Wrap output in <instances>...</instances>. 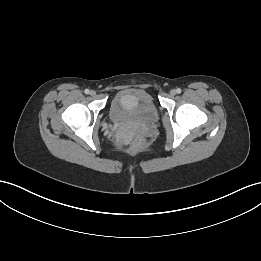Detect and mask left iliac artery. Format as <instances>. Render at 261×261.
<instances>
[{"instance_id": "44dca946", "label": "left iliac artery", "mask_w": 261, "mask_h": 261, "mask_svg": "<svg viewBox=\"0 0 261 261\" xmlns=\"http://www.w3.org/2000/svg\"><path fill=\"white\" fill-rule=\"evenodd\" d=\"M176 92H177V93H181V89H180V88H177V89H176Z\"/></svg>"}]
</instances>
